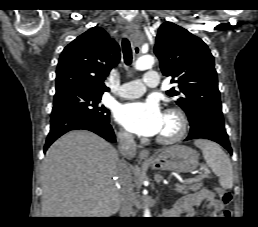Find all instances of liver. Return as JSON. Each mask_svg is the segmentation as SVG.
Masks as SVG:
<instances>
[{
  "label": "liver",
  "mask_w": 258,
  "mask_h": 227,
  "mask_svg": "<svg viewBox=\"0 0 258 227\" xmlns=\"http://www.w3.org/2000/svg\"><path fill=\"white\" fill-rule=\"evenodd\" d=\"M119 163L116 149L90 131L74 130L60 137L42 163V217L115 214L123 183ZM128 171L131 175V168Z\"/></svg>",
  "instance_id": "liver-1"
}]
</instances>
